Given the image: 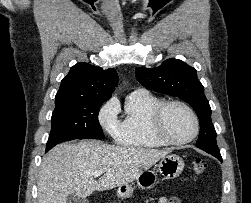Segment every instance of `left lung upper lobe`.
<instances>
[{"instance_id":"left-lung-upper-lobe-1","label":"left lung upper lobe","mask_w":251,"mask_h":203,"mask_svg":"<svg viewBox=\"0 0 251 203\" xmlns=\"http://www.w3.org/2000/svg\"><path fill=\"white\" fill-rule=\"evenodd\" d=\"M135 74L137 80L146 88L178 97L189 103L200 122L196 146L209 154H220L216 143V131L211 121V108L195 68L181 60L170 58L156 68L139 67Z\"/></svg>"}]
</instances>
